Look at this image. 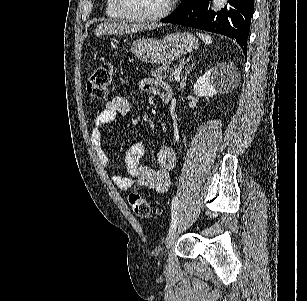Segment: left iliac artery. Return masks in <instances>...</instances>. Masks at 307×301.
Segmentation results:
<instances>
[{
  "label": "left iliac artery",
  "instance_id": "44dca946",
  "mask_svg": "<svg viewBox=\"0 0 307 301\" xmlns=\"http://www.w3.org/2000/svg\"><path fill=\"white\" fill-rule=\"evenodd\" d=\"M177 209H178V197L175 196L172 200V206H171L172 220L169 228V234L176 229L178 223Z\"/></svg>",
  "mask_w": 307,
  "mask_h": 301
}]
</instances>
